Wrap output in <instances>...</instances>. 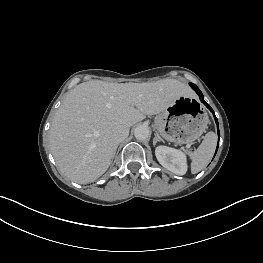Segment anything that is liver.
Segmentation results:
<instances>
[{
	"instance_id": "6515ba94",
	"label": "liver",
	"mask_w": 263,
	"mask_h": 263,
	"mask_svg": "<svg viewBox=\"0 0 263 263\" xmlns=\"http://www.w3.org/2000/svg\"><path fill=\"white\" fill-rule=\"evenodd\" d=\"M184 83L164 79L146 83L91 80L68 94L53 118L49 141L60 171L77 183L103 175L114 158L115 127L164 111L174 100L190 95Z\"/></svg>"
}]
</instances>
